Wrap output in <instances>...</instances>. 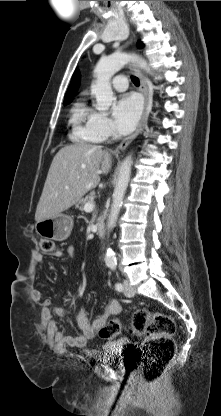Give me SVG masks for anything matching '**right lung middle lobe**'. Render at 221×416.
Segmentation results:
<instances>
[{
  "label": "right lung middle lobe",
  "mask_w": 221,
  "mask_h": 416,
  "mask_svg": "<svg viewBox=\"0 0 221 416\" xmlns=\"http://www.w3.org/2000/svg\"><path fill=\"white\" fill-rule=\"evenodd\" d=\"M69 103H70V101H64V105H67Z\"/></svg>",
  "instance_id": "right-lung-middle-lobe-1"
}]
</instances>
